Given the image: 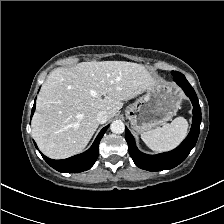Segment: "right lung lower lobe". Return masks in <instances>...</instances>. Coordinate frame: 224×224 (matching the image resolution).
<instances>
[{
	"label": "right lung lower lobe",
	"mask_w": 224,
	"mask_h": 224,
	"mask_svg": "<svg viewBox=\"0 0 224 224\" xmlns=\"http://www.w3.org/2000/svg\"><path fill=\"white\" fill-rule=\"evenodd\" d=\"M34 111H35V104L32 108L31 117H32ZM108 127H109V125L104 127L100 131V133L96 137V139H95L93 145L90 147V149H88L86 152H84L82 154L70 157L68 159H63V160H53V159L47 158L43 154H41V155L44 158V160L52 168H54L60 172L77 173V172H82V171L88 170L96 162V159H97L98 153H99V149H98L99 142ZM35 146H36V144H35ZM36 148H37V146H36Z\"/></svg>",
	"instance_id": "98d812e1"
}]
</instances>
